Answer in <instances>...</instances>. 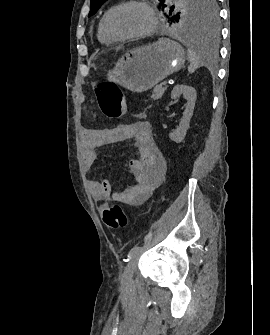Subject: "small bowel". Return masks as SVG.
Segmentation results:
<instances>
[{
    "instance_id": "1",
    "label": "small bowel",
    "mask_w": 270,
    "mask_h": 335,
    "mask_svg": "<svg viewBox=\"0 0 270 335\" xmlns=\"http://www.w3.org/2000/svg\"><path fill=\"white\" fill-rule=\"evenodd\" d=\"M118 133L121 140L133 139L135 142L138 156L126 164L133 177V184L124 191L113 192L110 180H90L89 188L95 200L115 201L128 206L139 205L161 184L165 175V161L154 143L148 121L139 120L122 125ZM104 134L105 132L100 129L84 130V162L87 166L95 163L97 148L102 144Z\"/></svg>"
}]
</instances>
